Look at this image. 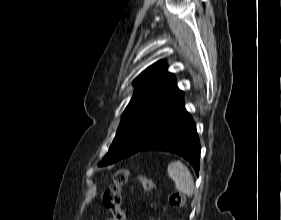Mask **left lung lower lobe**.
I'll use <instances>...</instances> for the list:
<instances>
[{
    "label": "left lung lower lobe",
    "mask_w": 281,
    "mask_h": 220,
    "mask_svg": "<svg viewBox=\"0 0 281 220\" xmlns=\"http://www.w3.org/2000/svg\"><path fill=\"white\" fill-rule=\"evenodd\" d=\"M146 150L178 154L192 164L198 175L201 146L194 120L184 107L183 96L168 111L150 141L139 151Z\"/></svg>",
    "instance_id": "1"
}]
</instances>
